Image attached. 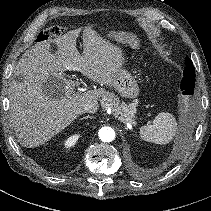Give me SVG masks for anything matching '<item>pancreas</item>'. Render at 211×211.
<instances>
[{
	"label": "pancreas",
	"mask_w": 211,
	"mask_h": 211,
	"mask_svg": "<svg viewBox=\"0 0 211 211\" xmlns=\"http://www.w3.org/2000/svg\"><path fill=\"white\" fill-rule=\"evenodd\" d=\"M102 104L105 108H111L113 116L122 122L135 124L133 118L136 114L137 102L127 105L121 102L113 92H105L102 96Z\"/></svg>",
	"instance_id": "pancreas-1"
}]
</instances>
